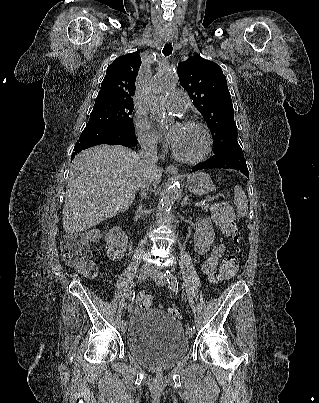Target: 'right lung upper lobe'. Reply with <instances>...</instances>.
<instances>
[{
  "mask_svg": "<svg viewBox=\"0 0 319 403\" xmlns=\"http://www.w3.org/2000/svg\"><path fill=\"white\" fill-rule=\"evenodd\" d=\"M141 65L137 52L118 57L108 66L95 102L133 105L135 80Z\"/></svg>",
  "mask_w": 319,
  "mask_h": 403,
  "instance_id": "1",
  "label": "right lung upper lobe"
}]
</instances>
